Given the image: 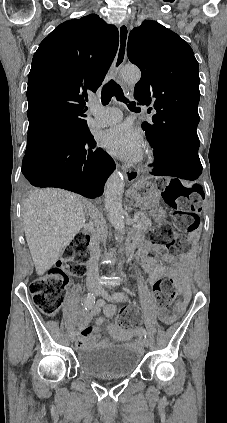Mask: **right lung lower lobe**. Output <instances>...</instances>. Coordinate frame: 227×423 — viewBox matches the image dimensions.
<instances>
[{
	"mask_svg": "<svg viewBox=\"0 0 227 423\" xmlns=\"http://www.w3.org/2000/svg\"><path fill=\"white\" fill-rule=\"evenodd\" d=\"M114 169V161L96 148L89 131L28 153L22 162V173L33 186L62 188L87 198L102 195Z\"/></svg>",
	"mask_w": 227,
	"mask_h": 423,
	"instance_id": "obj_1",
	"label": "right lung lower lobe"
}]
</instances>
